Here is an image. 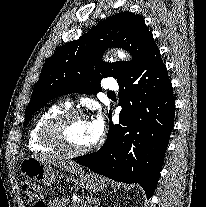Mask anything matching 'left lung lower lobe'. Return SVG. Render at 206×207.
<instances>
[{"instance_id":"0a47b994","label":"left lung lower lobe","mask_w":206,"mask_h":207,"mask_svg":"<svg viewBox=\"0 0 206 207\" xmlns=\"http://www.w3.org/2000/svg\"><path fill=\"white\" fill-rule=\"evenodd\" d=\"M118 85L119 124L111 122L106 143L78 157L77 163L116 181L139 183L149 199L157 187L175 112L172 84L156 44Z\"/></svg>"}]
</instances>
